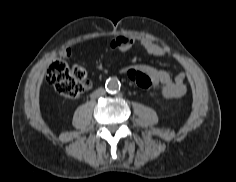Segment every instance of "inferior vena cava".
Here are the masks:
<instances>
[{
    "label": "inferior vena cava",
    "instance_id": "602c4592",
    "mask_svg": "<svg viewBox=\"0 0 236 182\" xmlns=\"http://www.w3.org/2000/svg\"><path fill=\"white\" fill-rule=\"evenodd\" d=\"M105 94V90H104V88H99V89H97L95 92H94V95L95 96H102V95H104Z\"/></svg>",
    "mask_w": 236,
    "mask_h": 182
}]
</instances>
